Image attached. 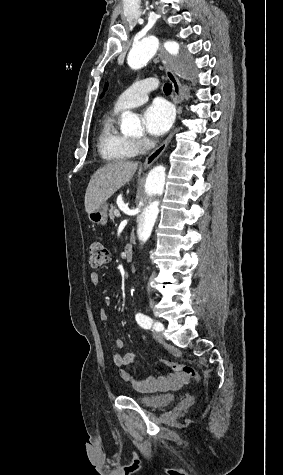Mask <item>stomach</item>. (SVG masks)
I'll list each match as a JSON object with an SVG mask.
<instances>
[{
    "instance_id": "stomach-1",
    "label": "stomach",
    "mask_w": 283,
    "mask_h": 475,
    "mask_svg": "<svg viewBox=\"0 0 283 475\" xmlns=\"http://www.w3.org/2000/svg\"><path fill=\"white\" fill-rule=\"evenodd\" d=\"M108 204H102L100 208L94 210V212H89L88 218L92 224H107L108 216H107Z\"/></svg>"
}]
</instances>
